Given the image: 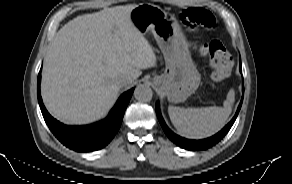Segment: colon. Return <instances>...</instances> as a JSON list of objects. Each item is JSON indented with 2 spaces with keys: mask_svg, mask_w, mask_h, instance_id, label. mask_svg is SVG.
<instances>
[{
  "mask_svg": "<svg viewBox=\"0 0 292 184\" xmlns=\"http://www.w3.org/2000/svg\"><path fill=\"white\" fill-rule=\"evenodd\" d=\"M183 23L194 28L196 26L213 27L215 26V18L213 15L202 8H191L185 10L181 14ZM199 52L208 57L213 68L211 79L214 82H220L225 79L232 68L233 60L230 53L218 41L201 44L198 47Z\"/></svg>",
  "mask_w": 292,
  "mask_h": 184,
  "instance_id": "1",
  "label": "colon"
}]
</instances>
